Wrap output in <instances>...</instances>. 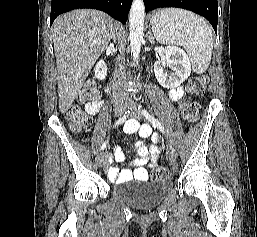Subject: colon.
<instances>
[{"mask_svg": "<svg viewBox=\"0 0 257 237\" xmlns=\"http://www.w3.org/2000/svg\"><path fill=\"white\" fill-rule=\"evenodd\" d=\"M208 83V78L205 75H197L190 79L187 86L189 94L201 95L205 92ZM97 96V90L94 84H86L79 95V100L88 101ZM180 114L188 123H194L199 118V106L196 102L185 100L180 105ZM66 118L70 123V127L74 132H80L88 126L89 120L78 105H71L66 110ZM151 177L154 181L167 180L171 177V171L168 167H160L155 169Z\"/></svg>", "mask_w": 257, "mask_h": 237, "instance_id": "obj_1", "label": "colon"}]
</instances>
